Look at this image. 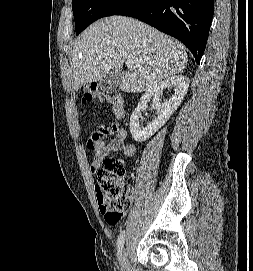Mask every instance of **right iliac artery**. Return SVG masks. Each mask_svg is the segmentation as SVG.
<instances>
[{
	"mask_svg": "<svg viewBox=\"0 0 253 271\" xmlns=\"http://www.w3.org/2000/svg\"><path fill=\"white\" fill-rule=\"evenodd\" d=\"M124 241H125V231H122L119 236H118V240H117V250H118V258L120 259L121 255H122V249L124 246Z\"/></svg>",
	"mask_w": 253,
	"mask_h": 271,
	"instance_id": "right-iliac-artery-1",
	"label": "right iliac artery"
}]
</instances>
